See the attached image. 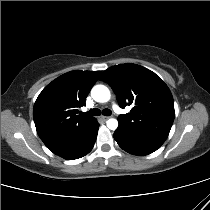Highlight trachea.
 <instances>
[{
	"label": "trachea",
	"mask_w": 210,
	"mask_h": 210,
	"mask_svg": "<svg viewBox=\"0 0 210 210\" xmlns=\"http://www.w3.org/2000/svg\"><path fill=\"white\" fill-rule=\"evenodd\" d=\"M101 113L104 115V116H110L111 115V110L109 109H104L102 112L98 109V108H93L91 109L87 115H92V116H98V115H101Z\"/></svg>",
	"instance_id": "obj_1"
}]
</instances>
